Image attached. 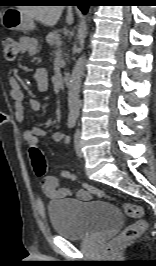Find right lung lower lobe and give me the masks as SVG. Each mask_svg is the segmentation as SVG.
Masks as SVG:
<instances>
[{"label":"right lung lower lobe","mask_w":156,"mask_h":266,"mask_svg":"<svg viewBox=\"0 0 156 266\" xmlns=\"http://www.w3.org/2000/svg\"><path fill=\"white\" fill-rule=\"evenodd\" d=\"M73 4H65V5H75L78 6L79 9L86 14L88 11V7L92 5V0H70Z\"/></svg>","instance_id":"right-lung-lower-lobe-1"}]
</instances>
